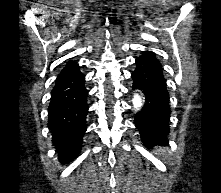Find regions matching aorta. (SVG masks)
Wrapping results in <instances>:
<instances>
[{"mask_svg":"<svg viewBox=\"0 0 221 193\" xmlns=\"http://www.w3.org/2000/svg\"><path fill=\"white\" fill-rule=\"evenodd\" d=\"M132 103H133L134 109L139 110L142 107V99L140 95L135 94L133 97Z\"/></svg>","mask_w":221,"mask_h":193,"instance_id":"1","label":"aorta"}]
</instances>
